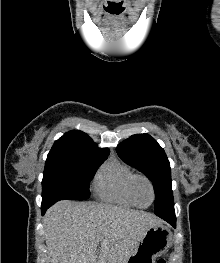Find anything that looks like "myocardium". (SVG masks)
Wrapping results in <instances>:
<instances>
[{
    "mask_svg": "<svg viewBox=\"0 0 220 263\" xmlns=\"http://www.w3.org/2000/svg\"><path fill=\"white\" fill-rule=\"evenodd\" d=\"M139 180L144 181L148 185V187H149V189L151 191V201L147 205H140L137 202V199H136L135 186H136V183ZM129 194H130V198L133 201V203L135 204V206L140 207V208L149 207L155 200V188H154V185H153L152 181L146 175H143V174H135L132 177V179L130 181V184H129Z\"/></svg>",
    "mask_w": 220,
    "mask_h": 263,
    "instance_id": "1",
    "label": "myocardium"
}]
</instances>
